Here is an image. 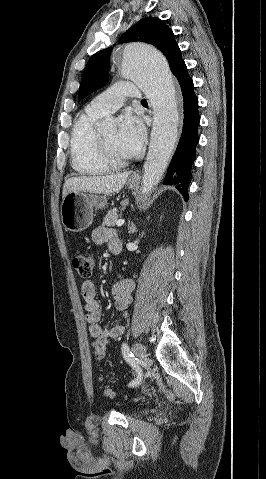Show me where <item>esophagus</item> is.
I'll use <instances>...</instances> for the list:
<instances>
[{"mask_svg": "<svg viewBox=\"0 0 266 479\" xmlns=\"http://www.w3.org/2000/svg\"><path fill=\"white\" fill-rule=\"evenodd\" d=\"M132 179H137V176L134 174L131 176Z\"/></svg>", "mask_w": 266, "mask_h": 479, "instance_id": "obj_1", "label": "esophagus"}]
</instances>
